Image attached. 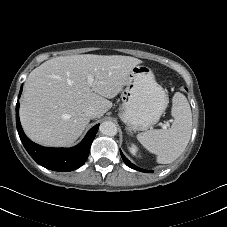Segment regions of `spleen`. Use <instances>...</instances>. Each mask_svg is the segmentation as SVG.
Returning a JSON list of instances; mask_svg holds the SVG:
<instances>
[{"instance_id": "spleen-1", "label": "spleen", "mask_w": 227, "mask_h": 227, "mask_svg": "<svg viewBox=\"0 0 227 227\" xmlns=\"http://www.w3.org/2000/svg\"><path fill=\"white\" fill-rule=\"evenodd\" d=\"M171 114L173 124L168 129L148 130L137 135L138 141L157 156V162L169 164L185 150L192 131V113L186 97L176 92L173 96Z\"/></svg>"}]
</instances>
